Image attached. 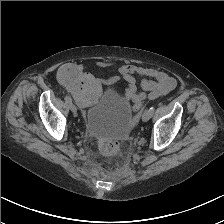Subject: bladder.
Returning a JSON list of instances; mask_svg holds the SVG:
<instances>
[{"mask_svg":"<svg viewBox=\"0 0 224 224\" xmlns=\"http://www.w3.org/2000/svg\"><path fill=\"white\" fill-rule=\"evenodd\" d=\"M131 105L112 88H107L98 102L88 108L86 125L97 136L122 138L131 127Z\"/></svg>","mask_w":224,"mask_h":224,"instance_id":"bladder-1","label":"bladder"}]
</instances>
